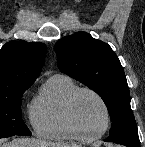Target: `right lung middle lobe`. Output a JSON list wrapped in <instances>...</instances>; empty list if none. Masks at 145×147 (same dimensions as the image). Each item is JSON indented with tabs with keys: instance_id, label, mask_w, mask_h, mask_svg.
<instances>
[{
	"instance_id": "obj_1",
	"label": "right lung middle lobe",
	"mask_w": 145,
	"mask_h": 147,
	"mask_svg": "<svg viewBox=\"0 0 145 147\" xmlns=\"http://www.w3.org/2000/svg\"><path fill=\"white\" fill-rule=\"evenodd\" d=\"M29 87H14L0 92V138L31 135L21 118V98Z\"/></svg>"
}]
</instances>
